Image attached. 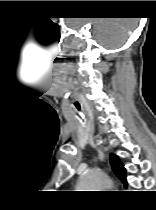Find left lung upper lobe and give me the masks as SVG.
<instances>
[{"label": "left lung upper lobe", "mask_w": 156, "mask_h": 210, "mask_svg": "<svg viewBox=\"0 0 156 210\" xmlns=\"http://www.w3.org/2000/svg\"><path fill=\"white\" fill-rule=\"evenodd\" d=\"M110 162L114 173L126 183V170L124 165L119 161L118 157L114 154H111Z\"/></svg>", "instance_id": "obj_1"}]
</instances>
